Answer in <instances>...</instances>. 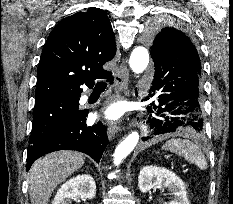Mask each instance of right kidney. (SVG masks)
<instances>
[{
	"label": "right kidney",
	"instance_id": "ca27d5eb",
	"mask_svg": "<svg viewBox=\"0 0 233 204\" xmlns=\"http://www.w3.org/2000/svg\"><path fill=\"white\" fill-rule=\"evenodd\" d=\"M96 194V183L88 174L78 175L66 181L58 189L52 204H70L76 198L93 199Z\"/></svg>",
	"mask_w": 233,
	"mask_h": 204
}]
</instances>
